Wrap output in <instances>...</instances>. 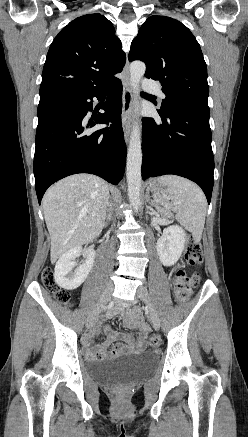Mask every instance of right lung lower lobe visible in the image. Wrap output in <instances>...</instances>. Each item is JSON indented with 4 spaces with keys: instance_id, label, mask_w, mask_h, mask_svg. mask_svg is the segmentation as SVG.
<instances>
[{
    "instance_id": "right-lung-lower-lobe-1",
    "label": "right lung lower lobe",
    "mask_w": 248,
    "mask_h": 437,
    "mask_svg": "<svg viewBox=\"0 0 248 437\" xmlns=\"http://www.w3.org/2000/svg\"><path fill=\"white\" fill-rule=\"evenodd\" d=\"M108 94L98 114L88 123L94 97ZM122 83L116 78L103 88L91 91L40 95L34 155L35 188L39 204L54 182L76 173H91L112 184L124 174L126 144L121 125ZM112 125L94 132L96 124Z\"/></svg>"
}]
</instances>
